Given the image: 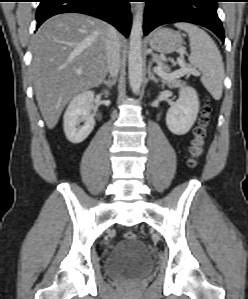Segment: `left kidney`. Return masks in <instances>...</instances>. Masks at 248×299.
Returning a JSON list of instances; mask_svg holds the SVG:
<instances>
[{
  "label": "left kidney",
  "instance_id": "obj_1",
  "mask_svg": "<svg viewBox=\"0 0 248 299\" xmlns=\"http://www.w3.org/2000/svg\"><path fill=\"white\" fill-rule=\"evenodd\" d=\"M199 112L198 95L192 87L182 88L178 100L166 115L168 129L175 135L186 134L194 125Z\"/></svg>",
  "mask_w": 248,
  "mask_h": 299
}]
</instances>
